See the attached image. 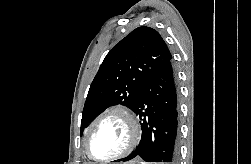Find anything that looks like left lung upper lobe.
Returning a JSON list of instances; mask_svg holds the SVG:
<instances>
[{
	"label": "left lung upper lobe",
	"instance_id": "5c2ea615",
	"mask_svg": "<svg viewBox=\"0 0 251 164\" xmlns=\"http://www.w3.org/2000/svg\"><path fill=\"white\" fill-rule=\"evenodd\" d=\"M171 58L160 34L150 27H138L123 38L109 51L90 86L81 132L110 105L134 110L144 86Z\"/></svg>",
	"mask_w": 251,
	"mask_h": 164
}]
</instances>
